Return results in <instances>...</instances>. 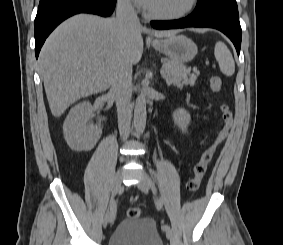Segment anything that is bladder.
I'll use <instances>...</instances> for the list:
<instances>
[{
  "mask_svg": "<svg viewBox=\"0 0 283 245\" xmlns=\"http://www.w3.org/2000/svg\"><path fill=\"white\" fill-rule=\"evenodd\" d=\"M108 245H163L154 219L149 217L122 220L112 231Z\"/></svg>",
  "mask_w": 283,
  "mask_h": 245,
  "instance_id": "31cf9c89",
  "label": "bladder"
}]
</instances>
